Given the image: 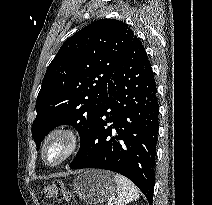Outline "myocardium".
<instances>
[{"instance_id":"1","label":"myocardium","mask_w":212,"mask_h":205,"mask_svg":"<svg viewBox=\"0 0 212 205\" xmlns=\"http://www.w3.org/2000/svg\"><path fill=\"white\" fill-rule=\"evenodd\" d=\"M62 145V151L58 158L49 160L47 150L54 143ZM80 140L78 133L69 126H58L52 129L44 138L41 146V158L45 164L56 166L69 159L77 150Z\"/></svg>"}]
</instances>
